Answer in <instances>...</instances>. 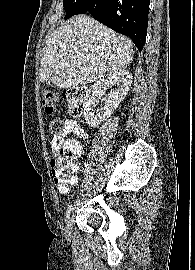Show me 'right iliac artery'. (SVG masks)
<instances>
[{"instance_id": "1", "label": "right iliac artery", "mask_w": 195, "mask_h": 270, "mask_svg": "<svg viewBox=\"0 0 195 270\" xmlns=\"http://www.w3.org/2000/svg\"><path fill=\"white\" fill-rule=\"evenodd\" d=\"M72 208H73L72 204L67 208V212H66V223H68V219L70 217V213L72 211Z\"/></svg>"}]
</instances>
